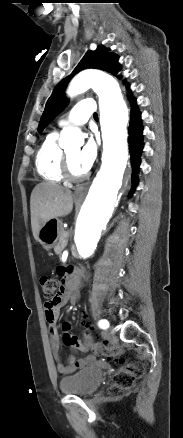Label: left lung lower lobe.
Instances as JSON below:
<instances>
[{
    "instance_id": "left-lung-lower-lobe-1",
    "label": "left lung lower lobe",
    "mask_w": 183,
    "mask_h": 438,
    "mask_svg": "<svg viewBox=\"0 0 183 438\" xmlns=\"http://www.w3.org/2000/svg\"><path fill=\"white\" fill-rule=\"evenodd\" d=\"M129 90V87H127ZM132 110H131V119L129 125V144H130V155H131V164L133 168L132 172V181L133 188L137 185V173L140 165V154L143 149L142 143V125H141V117L140 112L136 108V101L134 98H129Z\"/></svg>"
}]
</instances>
